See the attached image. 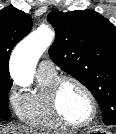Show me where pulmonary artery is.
Here are the masks:
<instances>
[{"mask_svg":"<svg viewBox=\"0 0 116 134\" xmlns=\"http://www.w3.org/2000/svg\"><path fill=\"white\" fill-rule=\"evenodd\" d=\"M54 63L49 59L42 60L37 69V73H55Z\"/></svg>","mask_w":116,"mask_h":134,"instance_id":"obj_1","label":"pulmonary artery"}]
</instances>
